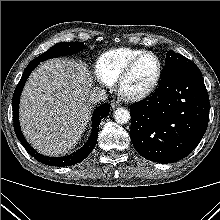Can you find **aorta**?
Instances as JSON below:
<instances>
[{
  "label": "aorta",
  "instance_id": "762f6f07",
  "mask_svg": "<svg viewBox=\"0 0 220 220\" xmlns=\"http://www.w3.org/2000/svg\"><path fill=\"white\" fill-rule=\"evenodd\" d=\"M115 121L119 124H126L130 120V113L125 108H117L114 111Z\"/></svg>",
  "mask_w": 220,
  "mask_h": 220
}]
</instances>
